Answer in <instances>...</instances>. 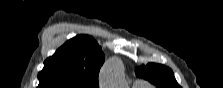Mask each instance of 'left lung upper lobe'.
<instances>
[{
    "label": "left lung upper lobe",
    "instance_id": "obj_1",
    "mask_svg": "<svg viewBox=\"0 0 223 88\" xmlns=\"http://www.w3.org/2000/svg\"><path fill=\"white\" fill-rule=\"evenodd\" d=\"M136 74L155 84L157 88H180L172 70L164 65L154 63L142 65L136 68Z\"/></svg>",
    "mask_w": 223,
    "mask_h": 88
}]
</instances>
